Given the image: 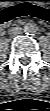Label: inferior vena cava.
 Instances as JSON below:
<instances>
[{
    "instance_id": "obj_1",
    "label": "inferior vena cava",
    "mask_w": 50,
    "mask_h": 111,
    "mask_svg": "<svg viewBox=\"0 0 50 111\" xmlns=\"http://www.w3.org/2000/svg\"><path fill=\"white\" fill-rule=\"evenodd\" d=\"M22 33V28L19 27V26H16V27H12L10 30H9V34L11 36H17V35H20Z\"/></svg>"
}]
</instances>
